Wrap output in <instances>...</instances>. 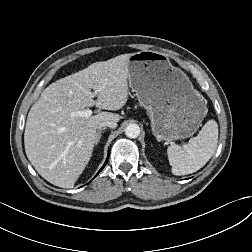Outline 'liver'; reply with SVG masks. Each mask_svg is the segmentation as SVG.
Segmentation results:
<instances>
[{
    "mask_svg": "<svg viewBox=\"0 0 252 252\" xmlns=\"http://www.w3.org/2000/svg\"><path fill=\"white\" fill-rule=\"evenodd\" d=\"M128 57L123 54L95 62L61 78L32 105L25 126V152L35 170L51 184L73 188L92 156L98 124L120 120L119 114L110 112L90 117L71 113L92 106L121 109L129 95ZM91 90H99L96 100Z\"/></svg>",
    "mask_w": 252,
    "mask_h": 252,
    "instance_id": "liver-1",
    "label": "liver"
}]
</instances>
